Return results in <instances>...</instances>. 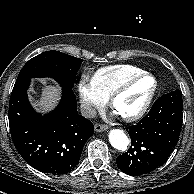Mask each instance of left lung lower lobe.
I'll list each match as a JSON object with an SVG mask.
<instances>
[{
	"mask_svg": "<svg viewBox=\"0 0 194 194\" xmlns=\"http://www.w3.org/2000/svg\"><path fill=\"white\" fill-rule=\"evenodd\" d=\"M182 92L175 90L155 101L149 113L126 128L131 137L128 152L116 159L124 173L137 176L162 166L177 145L183 117Z\"/></svg>",
	"mask_w": 194,
	"mask_h": 194,
	"instance_id": "obj_1",
	"label": "left lung lower lobe"
}]
</instances>
